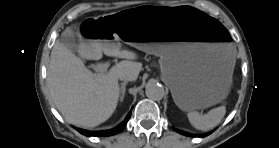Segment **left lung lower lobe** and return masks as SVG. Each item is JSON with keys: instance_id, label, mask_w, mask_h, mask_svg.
I'll return each mask as SVG.
<instances>
[{"instance_id": "0a47b994", "label": "left lung lower lobe", "mask_w": 279, "mask_h": 148, "mask_svg": "<svg viewBox=\"0 0 279 148\" xmlns=\"http://www.w3.org/2000/svg\"><path fill=\"white\" fill-rule=\"evenodd\" d=\"M175 131H177V132H179V133H181V134H183V135H186V136L196 137L195 135L190 134V133H187V132H183V131H180V130H175ZM208 134H209V133H208ZM208 134H205V135H202V136H198V137H204V136H206V135H208Z\"/></svg>"}]
</instances>
